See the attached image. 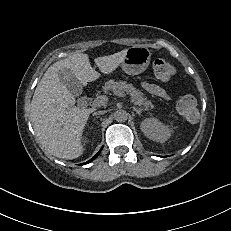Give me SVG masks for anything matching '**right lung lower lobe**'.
I'll return each instance as SVG.
<instances>
[{
	"instance_id": "right-lung-lower-lobe-1",
	"label": "right lung lower lobe",
	"mask_w": 231,
	"mask_h": 231,
	"mask_svg": "<svg viewBox=\"0 0 231 231\" xmlns=\"http://www.w3.org/2000/svg\"><path fill=\"white\" fill-rule=\"evenodd\" d=\"M100 152H101V150L92 159H90L89 161H87L86 163H83V164L90 163L93 159H95L100 154Z\"/></svg>"
}]
</instances>
